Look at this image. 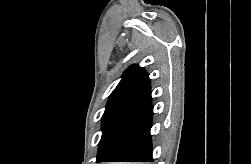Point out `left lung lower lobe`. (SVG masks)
Masks as SVG:
<instances>
[{"instance_id": "obj_1", "label": "left lung lower lobe", "mask_w": 251, "mask_h": 164, "mask_svg": "<svg viewBox=\"0 0 251 164\" xmlns=\"http://www.w3.org/2000/svg\"><path fill=\"white\" fill-rule=\"evenodd\" d=\"M152 116L149 90L128 112L115 137L112 153L101 162H153L150 135Z\"/></svg>"}]
</instances>
